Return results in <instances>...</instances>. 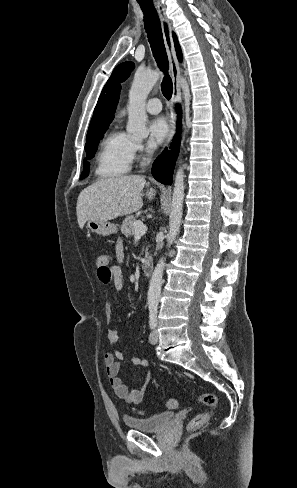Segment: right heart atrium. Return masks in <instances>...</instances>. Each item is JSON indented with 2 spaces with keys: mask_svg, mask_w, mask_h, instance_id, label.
<instances>
[{
  "mask_svg": "<svg viewBox=\"0 0 297 488\" xmlns=\"http://www.w3.org/2000/svg\"><path fill=\"white\" fill-rule=\"evenodd\" d=\"M151 151H152L151 146L145 145L141 141L135 140L133 138L129 139V152L132 160L139 156H146L150 154Z\"/></svg>",
  "mask_w": 297,
  "mask_h": 488,
  "instance_id": "right-heart-atrium-1",
  "label": "right heart atrium"
}]
</instances>
